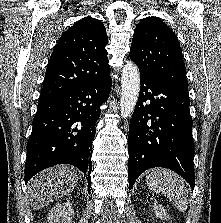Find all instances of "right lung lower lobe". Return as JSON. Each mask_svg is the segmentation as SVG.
Listing matches in <instances>:
<instances>
[{
	"instance_id": "98d812e1",
	"label": "right lung lower lobe",
	"mask_w": 221,
	"mask_h": 223,
	"mask_svg": "<svg viewBox=\"0 0 221 223\" xmlns=\"http://www.w3.org/2000/svg\"><path fill=\"white\" fill-rule=\"evenodd\" d=\"M111 85L109 69L70 92L39 101L27 143L25 182L61 163L79 168L91 181V142L100 105L107 100Z\"/></svg>"
}]
</instances>
